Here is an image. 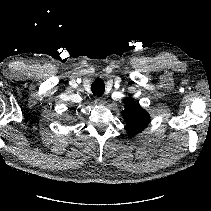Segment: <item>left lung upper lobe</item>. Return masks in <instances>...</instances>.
Instances as JSON below:
<instances>
[{
	"label": "left lung upper lobe",
	"mask_w": 211,
	"mask_h": 211,
	"mask_svg": "<svg viewBox=\"0 0 211 211\" xmlns=\"http://www.w3.org/2000/svg\"><path fill=\"white\" fill-rule=\"evenodd\" d=\"M125 109L122 112L126 122V130L131 137L144 130L150 122V116L139 104L129 98L125 99Z\"/></svg>",
	"instance_id": "1"
}]
</instances>
